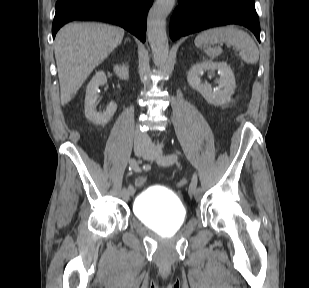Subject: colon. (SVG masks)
<instances>
[{"label":"colon","instance_id":"5ec220e1","mask_svg":"<svg viewBox=\"0 0 309 288\" xmlns=\"http://www.w3.org/2000/svg\"><path fill=\"white\" fill-rule=\"evenodd\" d=\"M135 183H136V186L143 187L146 184V178L139 177V178L136 179ZM184 183H186L185 180H181V181L178 182V184H180V185L184 184Z\"/></svg>","mask_w":309,"mask_h":288}]
</instances>
